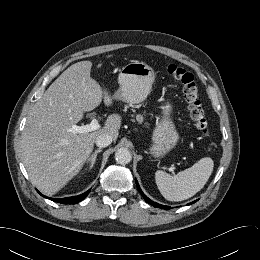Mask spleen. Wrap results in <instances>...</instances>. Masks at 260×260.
Returning a JSON list of instances; mask_svg holds the SVG:
<instances>
[{
  "instance_id": "spleen-1",
  "label": "spleen",
  "mask_w": 260,
  "mask_h": 260,
  "mask_svg": "<svg viewBox=\"0 0 260 260\" xmlns=\"http://www.w3.org/2000/svg\"><path fill=\"white\" fill-rule=\"evenodd\" d=\"M213 167V160L205 157L175 176L158 170L155 173V181L165 199L183 201L191 198L204 187L212 174Z\"/></svg>"
}]
</instances>
